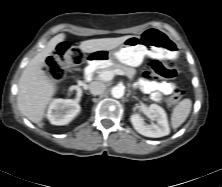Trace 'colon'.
Instances as JSON below:
<instances>
[{"mask_svg": "<svg viewBox=\"0 0 222 187\" xmlns=\"http://www.w3.org/2000/svg\"><path fill=\"white\" fill-rule=\"evenodd\" d=\"M83 61L80 50L69 44L62 43L46 60V70L54 80H62L67 72L75 70ZM178 74L177 69L164 61L153 60L145 71V78L152 80L158 78H174ZM183 97L180 90L174 91L168 98L170 106L176 105Z\"/></svg>", "mask_w": 222, "mask_h": 187, "instance_id": "5ec220e1", "label": "colon"}]
</instances>
